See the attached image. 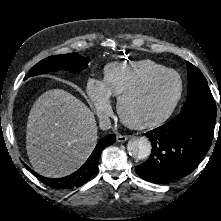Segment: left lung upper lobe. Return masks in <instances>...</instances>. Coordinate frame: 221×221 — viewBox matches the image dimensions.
Listing matches in <instances>:
<instances>
[{
    "mask_svg": "<svg viewBox=\"0 0 221 221\" xmlns=\"http://www.w3.org/2000/svg\"><path fill=\"white\" fill-rule=\"evenodd\" d=\"M188 68V94L182 109L196 101L215 102L208 87L207 80L202 72L193 64L187 62Z\"/></svg>",
    "mask_w": 221,
    "mask_h": 221,
    "instance_id": "1",
    "label": "left lung upper lobe"
}]
</instances>
